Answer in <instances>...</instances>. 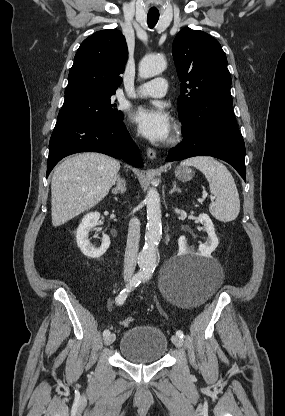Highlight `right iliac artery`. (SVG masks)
Returning <instances> with one entry per match:
<instances>
[{"label": "right iliac artery", "instance_id": "right-iliac-artery-1", "mask_svg": "<svg viewBox=\"0 0 285 416\" xmlns=\"http://www.w3.org/2000/svg\"><path fill=\"white\" fill-rule=\"evenodd\" d=\"M143 273L138 272L136 273L129 281V283L125 286V288L119 293V295L116 297V303L118 305H122L127 296L128 293L133 290L134 288H136L143 280ZM110 334V331L108 329H105L103 331V336H108Z\"/></svg>", "mask_w": 285, "mask_h": 416}]
</instances>
